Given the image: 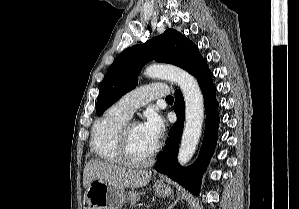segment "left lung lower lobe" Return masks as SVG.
Wrapping results in <instances>:
<instances>
[{
  "label": "left lung lower lobe",
  "instance_id": "obj_1",
  "mask_svg": "<svg viewBox=\"0 0 299 209\" xmlns=\"http://www.w3.org/2000/svg\"><path fill=\"white\" fill-rule=\"evenodd\" d=\"M212 75L207 66V60L193 73L201 87L206 110L205 134L198 160L189 168H182L176 164L185 112L183 95L179 90H176L174 111L177 115V122L169 131L166 148L158 155V161L155 164L157 171L168 175L195 195L199 193L200 177L211 158L217 140L218 102L215 97L216 88L212 82Z\"/></svg>",
  "mask_w": 299,
  "mask_h": 209
}]
</instances>
